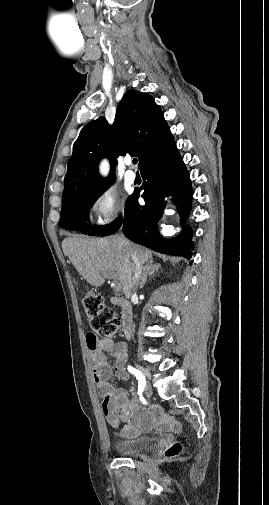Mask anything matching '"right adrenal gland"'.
Returning a JSON list of instances; mask_svg holds the SVG:
<instances>
[{
  "label": "right adrenal gland",
  "instance_id": "2a0ac1e0",
  "mask_svg": "<svg viewBox=\"0 0 269 505\" xmlns=\"http://www.w3.org/2000/svg\"><path fill=\"white\" fill-rule=\"evenodd\" d=\"M161 267V264H154L153 259L151 258L147 263L146 266L144 267V271L142 274V279L140 282L139 288L142 289L143 286L146 283L147 276H151L154 274L155 271H158V269Z\"/></svg>",
  "mask_w": 269,
  "mask_h": 505
}]
</instances>
